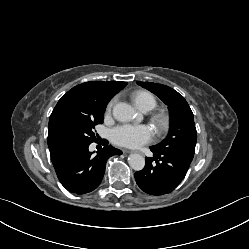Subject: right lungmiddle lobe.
<instances>
[{
	"instance_id": "right-lung-middle-lobe-1",
	"label": "right lung middle lobe",
	"mask_w": 249,
	"mask_h": 249,
	"mask_svg": "<svg viewBox=\"0 0 249 249\" xmlns=\"http://www.w3.org/2000/svg\"><path fill=\"white\" fill-rule=\"evenodd\" d=\"M104 112L94 119L74 123L66 128L65 134L71 149L91 144L97 140L93 131L95 125L103 123Z\"/></svg>"
}]
</instances>
